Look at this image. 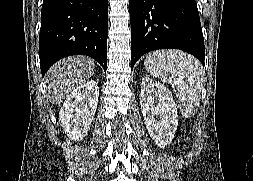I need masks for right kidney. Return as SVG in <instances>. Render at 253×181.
Masks as SVG:
<instances>
[{
	"instance_id": "right-kidney-1",
	"label": "right kidney",
	"mask_w": 253,
	"mask_h": 181,
	"mask_svg": "<svg viewBox=\"0 0 253 181\" xmlns=\"http://www.w3.org/2000/svg\"><path fill=\"white\" fill-rule=\"evenodd\" d=\"M98 89L97 82L86 81L77 86L63 103L59 118L70 139L80 141L87 135L97 108Z\"/></svg>"
}]
</instances>
